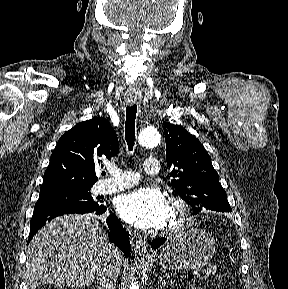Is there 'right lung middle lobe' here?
Instances as JSON below:
<instances>
[{
	"mask_svg": "<svg viewBox=\"0 0 288 289\" xmlns=\"http://www.w3.org/2000/svg\"><path fill=\"white\" fill-rule=\"evenodd\" d=\"M87 188H47L40 189V196L35 207L46 205H66L79 208L93 209L98 204L93 201Z\"/></svg>",
	"mask_w": 288,
	"mask_h": 289,
	"instance_id": "dd1d6c3e",
	"label": "right lung middle lobe"
}]
</instances>
